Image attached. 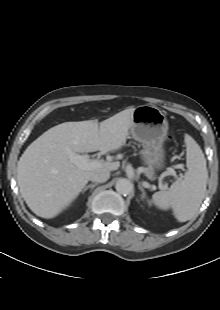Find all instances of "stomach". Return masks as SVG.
Returning <instances> with one entry per match:
<instances>
[{
	"label": "stomach",
	"instance_id": "1",
	"mask_svg": "<svg viewBox=\"0 0 220 310\" xmlns=\"http://www.w3.org/2000/svg\"><path fill=\"white\" fill-rule=\"evenodd\" d=\"M168 131L165 114L157 107L141 105L135 108L130 133L143 145L141 158L147 169L159 171L165 167L166 152L164 142Z\"/></svg>",
	"mask_w": 220,
	"mask_h": 310
}]
</instances>
